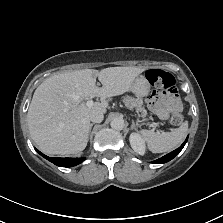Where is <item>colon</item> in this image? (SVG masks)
<instances>
[{
	"label": "colon",
	"instance_id": "5ec220e1",
	"mask_svg": "<svg viewBox=\"0 0 223 223\" xmlns=\"http://www.w3.org/2000/svg\"><path fill=\"white\" fill-rule=\"evenodd\" d=\"M146 78L155 86L161 87L170 93H177L175 79L168 72L159 69L148 70ZM171 122L173 125H180L183 122L182 113L180 111L175 112L171 117Z\"/></svg>",
	"mask_w": 223,
	"mask_h": 223
}]
</instances>
